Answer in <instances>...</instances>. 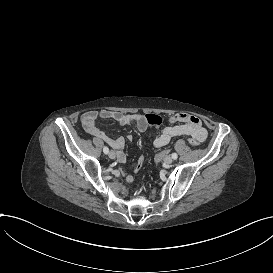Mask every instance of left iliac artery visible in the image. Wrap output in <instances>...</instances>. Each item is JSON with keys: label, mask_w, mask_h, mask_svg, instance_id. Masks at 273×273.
Instances as JSON below:
<instances>
[{"label": "left iliac artery", "mask_w": 273, "mask_h": 273, "mask_svg": "<svg viewBox=\"0 0 273 273\" xmlns=\"http://www.w3.org/2000/svg\"><path fill=\"white\" fill-rule=\"evenodd\" d=\"M172 158L175 160V159H177L178 158V155L176 154V153H172Z\"/></svg>", "instance_id": "1"}]
</instances>
